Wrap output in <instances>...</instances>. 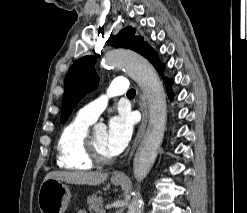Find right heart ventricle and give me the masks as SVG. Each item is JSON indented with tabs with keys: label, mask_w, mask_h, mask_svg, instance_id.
Masks as SVG:
<instances>
[{
	"label": "right heart ventricle",
	"mask_w": 247,
	"mask_h": 213,
	"mask_svg": "<svg viewBox=\"0 0 247 213\" xmlns=\"http://www.w3.org/2000/svg\"><path fill=\"white\" fill-rule=\"evenodd\" d=\"M92 122L78 116L60 132L57 140V165L61 169L85 171L93 164L84 155V139Z\"/></svg>",
	"instance_id": "1"
}]
</instances>
